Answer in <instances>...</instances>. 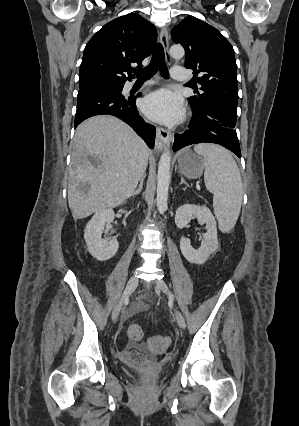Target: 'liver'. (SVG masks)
Masks as SVG:
<instances>
[{
  "label": "liver",
  "mask_w": 299,
  "mask_h": 426,
  "mask_svg": "<svg viewBox=\"0 0 299 426\" xmlns=\"http://www.w3.org/2000/svg\"><path fill=\"white\" fill-rule=\"evenodd\" d=\"M149 149L123 121L107 115L77 128L71 153L68 204L74 220L121 205L145 173Z\"/></svg>",
  "instance_id": "obj_1"
}]
</instances>
